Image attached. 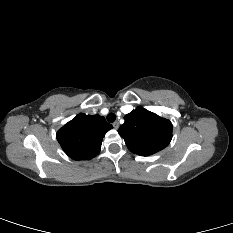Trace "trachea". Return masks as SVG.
<instances>
[{
	"label": "trachea",
	"mask_w": 233,
	"mask_h": 233,
	"mask_svg": "<svg viewBox=\"0 0 233 233\" xmlns=\"http://www.w3.org/2000/svg\"><path fill=\"white\" fill-rule=\"evenodd\" d=\"M115 120H116V115H115L114 113H109V114L107 115V121H108V122L112 123V122H114Z\"/></svg>",
	"instance_id": "3493384b"
}]
</instances>
